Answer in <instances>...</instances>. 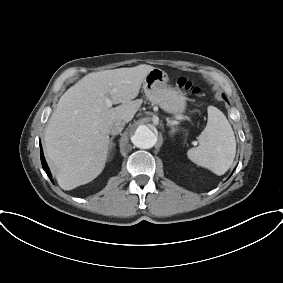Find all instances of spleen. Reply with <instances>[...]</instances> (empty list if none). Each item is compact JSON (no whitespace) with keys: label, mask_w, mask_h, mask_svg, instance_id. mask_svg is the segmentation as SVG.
<instances>
[{"label":"spleen","mask_w":283,"mask_h":283,"mask_svg":"<svg viewBox=\"0 0 283 283\" xmlns=\"http://www.w3.org/2000/svg\"><path fill=\"white\" fill-rule=\"evenodd\" d=\"M207 112V125L198 137L199 146L189 149L187 156L193 163L220 176L234 161L235 136L226 116L218 108L209 106Z\"/></svg>","instance_id":"obj_1"}]
</instances>
